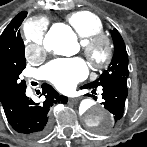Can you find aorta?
<instances>
[{
  "label": "aorta",
  "instance_id": "obj_1",
  "mask_svg": "<svg viewBox=\"0 0 147 147\" xmlns=\"http://www.w3.org/2000/svg\"><path fill=\"white\" fill-rule=\"evenodd\" d=\"M44 47L55 54L71 56L78 52L75 34L68 28L49 31L44 39ZM85 124L95 130H107L113 125V115L99 104L83 100L79 106Z\"/></svg>",
  "mask_w": 147,
  "mask_h": 147
}]
</instances>
